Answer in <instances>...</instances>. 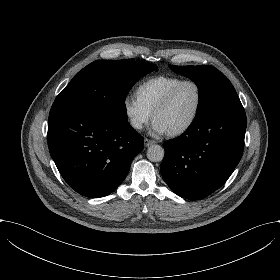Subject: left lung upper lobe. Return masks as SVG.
Returning a JSON list of instances; mask_svg holds the SVG:
<instances>
[{
    "instance_id": "5c2ea615",
    "label": "left lung upper lobe",
    "mask_w": 280,
    "mask_h": 280,
    "mask_svg": "<svg viewBox=\"0 0 280 280\" xmlns=\"http://www.w3.org/2000/svg\"><path fill=\"white\" fill-rule=\"evenodd\" d=\"M169 67L176 73L189 77L199 90L196 116L210 112L221 106L240 102L239 97L228 78L209 65Z\"/></svg>"
}]
</instances>
